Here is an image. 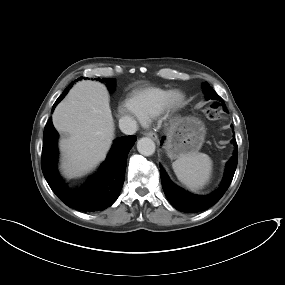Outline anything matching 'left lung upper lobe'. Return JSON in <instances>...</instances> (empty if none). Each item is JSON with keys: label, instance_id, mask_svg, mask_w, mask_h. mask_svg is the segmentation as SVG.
<instances>
[{"label": "left lung upper lobe", "instance_id": "left-lung-upper-lobe-1", "mask_svg": "<svg viewBox=\"0 0 285 285\" xmlns=\"http://www.w3.org/2000/svg\"><path fill=\"white\" fill-rule=\"evenodd\" d=\"M204 93L206 94V99L221 100V97L210 87L207 83L204 84ZM224 104V103H223ZM226 111L225 105L223 106Z\"/></svg>", "mask_w": 285, "mask_h": 285}]
</instances>
